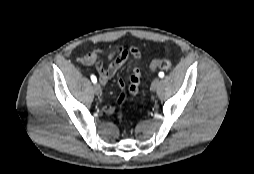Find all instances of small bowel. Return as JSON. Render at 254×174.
I'll use <instances>...</instances> for the list:
<instances>
[{
	"label": "small bowel",
	"mask_w": 254,
	"mask_h": 174,
	"mask_svg": "<svg viewBox=\"0 0 254 174\" xmlns=\"http://www.w3.org/2000/svg\"><path fill=\"white\" fill-rule=\"evenodd\" d=\"M103 50H96L92 52H88L84 54L80 61L83 64L86 65H96L97 71L99 74V79L102 84H106L115 74L116 72L125 64L128 62V53L127 51H123L122 49H115L113 53L110 56H114L117 53H120V57L115 59L107 68H105L100 61L99 57L101 54H103ZM135 58L140 57V52L137 49H134L132 51ZM141 70L137 67H135L132 70V73L129 77V90L131 94H136L141 80ZM119 87H124V82L120 80L118 82ZM103 111L106 115H112L114 113V108L110 105L105 104L103 106Z\"/></svg>",
	"instance_id": "obj_1"
}]
</instances>
